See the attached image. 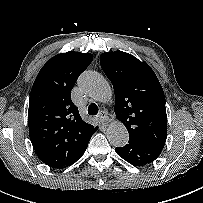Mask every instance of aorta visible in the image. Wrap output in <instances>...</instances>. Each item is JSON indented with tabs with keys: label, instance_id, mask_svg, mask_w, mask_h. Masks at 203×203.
Wrapping results in <instances>:
<instances>
[{
	"label": "aorta",
	"instance_id": "762f6f07",
	"mask_svg": "<svg viewBox=\"0 0 203 203\" xmlns=\"http://www.w3.org/2000/svg\"><path fill=\"white\" fill-rule=\"evenodd\" d=\"M78 85L84 94L96 101L108 103L112 100L113 92L109 83L97 72H84L78 80ZM106 134L110 144L115 147H124L128 143V131L120 121L110 123Z\"/></svg>",
	"mask_w": 203,
	"mask_h": 203
}]
</instances>
